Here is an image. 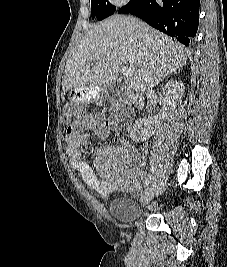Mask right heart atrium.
I'll list each match as a JSON object with an SVG mask.
<instances>
[{"instance_id": "obj_1", "label": "right heart atrium", "mask_w": 227, "mask_h": 267, "mask_svg": "<svg viewBox=\"0 0 227 267\" xmlns=\"http://www.w3.org/2000/svg\"><path fill=\"white\" fill-rule=\"evenodd\" d=\"M110 2L116 6H123L130 2V0H110Z\"/></svg>"}]
</instances>
